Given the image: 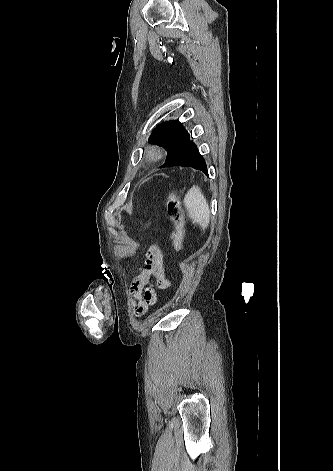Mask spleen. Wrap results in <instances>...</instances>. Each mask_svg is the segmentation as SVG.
Segmentation results:
<instances>
[{
	"label": "spleen",
	"mask_w": 333,
	"mask_h": 471,
	"mask_svg": "<svg viewBox=\"0 0 333 471\" xmlns=\"http://www.w3.org/2000/svg\"><path fill=\"white\" fill-rule=\"evenodd\" d=\"M184 204L190 218L195 223L200 224L202 229L207 228L210 221V210L206 198L199 187H191L185 195Z\"/></svg>",
	"instance_id": "3e777b00"
}]
</instances>
